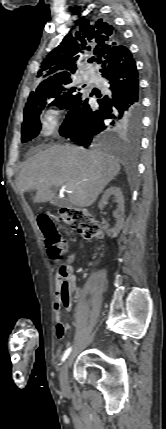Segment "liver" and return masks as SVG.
<instances>
[{
  "mask_svg": "<svg viewBox=\"0 0 166 429\" xmlns=\"http://www.w3.org/2000/svg\"><path fill=\"white\" fill-rule=\"evenodd\" d=\"M120 168L118 160L109 153L54 145L27 160L19 174L18 189L20 193L36 189L34 202H47L55 195L53 187L71 184L69 202L88 207Z\"/></svg>",
  "mask_w": 166,
  "mask_h": 429,
  "instance_id": "1",
  "label": "liver"
}]
</instances>
